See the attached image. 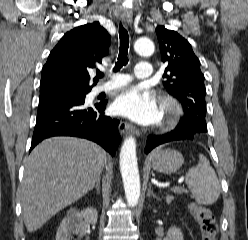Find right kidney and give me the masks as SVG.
Returning <instances> with one entry per match:
<instances>
[{"instance_id":"1","label":"right kidney","mask_w":248,"mask_h":240,"mask_svg":"<svg viewBox=\"0 0 248 240\" xmlns=\"http://www.w3.org/2000/svg\"><path fill=\"white\" fill-rule=\"evenodd\" d=\"M96 209L88 207L63 219L57 230L56 240H70L72 234L83 236L88 224L97 222Z\"/></svg>"}]
</instances>
